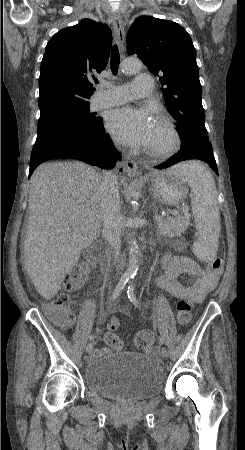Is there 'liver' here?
Returning a JSON list of instances; mask_svg holds the SVG:
<instances>
[{
  "mask_svg": "<svg viewBox=\"0 0 245 450\" xmlns=\"http://www.w3.org/2000/svg\"><path fill=\"white\" fill-rule=\"evenodd\" d=\"M100 179L80 162L45 163L32 174L24 263L47 300L101 232Z\"/></svg>",
  "mask_w": 245,
  "mask_h": 450,
  "instance_id": "6515ba94",
  "label": "liver"
}]
</instances>
